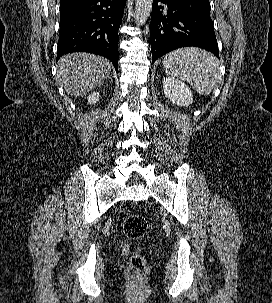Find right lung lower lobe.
<instances>
[{
    "instance_id": "98d812e1",
    "label": "right lung lower lobe",
    "mask_w": 272,
    "mask_h": 303,
    "mask_svg": "<svg viewBox=\"0 0 272 303\" xmlns=\"http://www.w3.org/2000/svg\"><path fill=\"white\" fill-rule=\"evenodd\" d=\"M126 0H84L60 9L57 60L72 52L108 58L118 68V29Z\"/></svg>"
}]
</instances>
